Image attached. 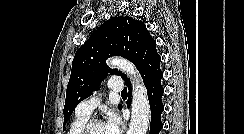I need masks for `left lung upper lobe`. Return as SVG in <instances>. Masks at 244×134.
Returning <instances> with one entry per match:
<instances>
[{"instance_id": "obj_1", "label": "left lung upper lobe", "mask_w": 244, "mask_h": 134, "mask_svg": "<svg viewBox=\"0 0 244 134\" xmlns=\"http://www.w3.org/2000/svg\"><path fill=\"white\" fill-rule=\"evenodd\" d=\"M122 56L135 64L144 84L160 70L161 57L156 41L146 25L132 17H113L104 22L76 52L67 86L64 106V126L75 107L93 91L98 90L104 78L110 74L121 75L130 86L127 76L117 69H109L105 60ZM121 108V105L118 106Z\"/></svg>"}]
</instances>
